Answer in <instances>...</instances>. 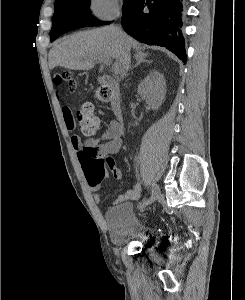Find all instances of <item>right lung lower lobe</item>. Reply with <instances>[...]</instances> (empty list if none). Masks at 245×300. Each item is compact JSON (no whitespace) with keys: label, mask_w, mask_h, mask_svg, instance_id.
Returning <instances> with one entry per match:
<instances>
[{"label":"right lung lower lobe","mask_w":245,"mask_h":300,"mask_svg":"<svg viewBox=\"0 0 245 300\" xmlns=\"http://www.w3.org/2000/svg\"><path fill=\"white\" fill-rule=\"evenodd\" d=\"M181 11V0H136L122 13L121 23L136 40L166 47L186 63ZM82 27L76 21L60 20L56 23L57 36Z\"/></svg>","instance_id":"obj_1"}]
</instances>
